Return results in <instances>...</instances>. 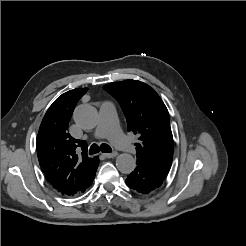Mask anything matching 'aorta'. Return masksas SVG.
<instances>
[{"mask_svg": "<svg viewBox=\"0 0 246 246\" xmlns=\"http://www.w3.org/2000/svg\"><path fill=\"white\" fill-rule=\"evenodd\" d=\"M74 120L82 129H93L98 122V113L91 105H80L74 111ZM116 167L122 173H131L136 167V161L132 155L124 153L117 157Z\"/></svg>", "mask_w": 246, "mask_h": 246, "instance_id": "aorta-1", "label": "aorta"}]
</instances>
